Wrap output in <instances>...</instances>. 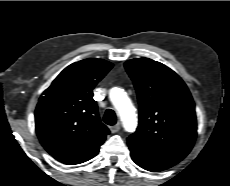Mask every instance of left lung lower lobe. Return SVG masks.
<instances>
[{
    "label": "left lung lower lobe",
    "instance_id": "0a47b994",
    "mask_svg": "<svg viewBox=\"0 0 230 186\" xmlns=\"http://www.w3.org/2000/svg\"><path fill=\"white\" fill-rule=\"evenodd\" d=\"M133 161L143 169L148 171H162L172 167L180 162L179 159L174 156L145 151L142 148L128 143Z\"/></svg>",
    "mask_w": 230,
    "mask_h": 186
}]
</instances>
